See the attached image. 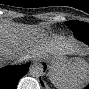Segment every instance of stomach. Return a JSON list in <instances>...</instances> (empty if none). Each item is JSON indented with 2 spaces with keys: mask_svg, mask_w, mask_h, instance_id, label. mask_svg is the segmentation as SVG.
Listing matches in <instances>:
<instances>
[{
  "mask_svg": "<svg viewBox=\"0 0 89 89\" xmlns=\"http://www.w3.org/2000/svg\"><path fill=\"white\" fill-rule=\"evenodd\" d=\"M66 62H68V59L66 57H64L62 59L53 58V57L49 58V63H50L51 69L56 66H62Z\"/></svg>",
  "mask_w": 89,
  "mask_h": 89,
  "instance_id": "obj_1",
  "label": "stomach"
}]
</instances>
